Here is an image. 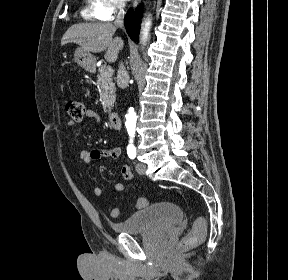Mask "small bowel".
Returning a JSON list of instances; mask_svg holds the SVG:
<instances>
[{
    "mask_svg": "<svg viewBox=\"0 0 288 280\" xmlns=\"http://www.w3.org/2000/svg\"><path fill=\"white\" fill-rule=\"evenodd\" d=\"M84 115L88 118H92L96 121L100 120L99 115L91 109H85ZM76 122L74 120H70L68 122V125L70 127L74 126ZM123 155V151L119 147H111L106 149H94V150H81L78 154V157L81 161L85 163H90L92 160H96L102 157L110 158V159H120ZM121 173L123 178L126 181H131L133 178V175L131 173V169L128 165H124L121 169ZM125 186L123 183H115L113 185V191L114 192H122L124 191ZM93 195L95 197H100L102 195V189L100 187H94L93 188Z\"/></svg>",
    "mask_w": 288,
    "mask_h": 280,
    "instance_id": "small-bowel-1",
    "label": "small bowel"
}]
</instances>
